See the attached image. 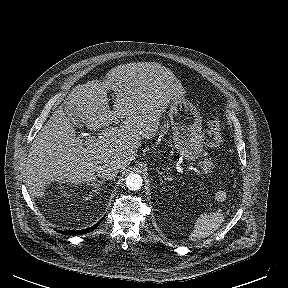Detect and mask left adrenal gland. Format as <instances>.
<instances>
[{
	"mask_svg": "<svg viewBox=\"0 0 288 288\" xmlns=\"http://www.w3.org/2000/svg\"><path fill=\"white\" fill-rule=\"evenodd\" d=\"M157 172H158V174H160L164 178V180L172 181V177L168 173H167V175H168L167 176L164 172H161L159 170H157Z\"/></svg>",
	"mask_w": 288,
	"mask_h": 288,
	"instance_id": "a2214340",
	"label": "left adrenal gland"
}]
</instances>
